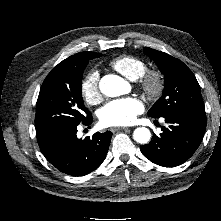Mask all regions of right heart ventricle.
<instances>
[{"label": "right heart ventricle", "mask_w": 221, "mask_h": 221, "mask_svg": "<svg viewBox=\"0 0 221 221\" xmlns=\"http://www.w3.org/2000/svg\"><path fill=\"white\" fill-rule=\"evenodd\" d=\"M110 67L129 80H138L147 70L146 62L132 55H123L112 59Z\"/></svg>", "instance_id": "e07e8e85"}]
</instances>
